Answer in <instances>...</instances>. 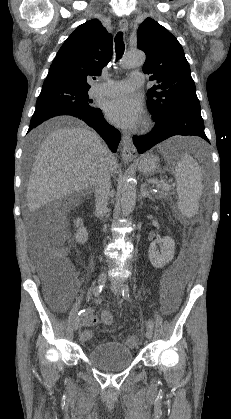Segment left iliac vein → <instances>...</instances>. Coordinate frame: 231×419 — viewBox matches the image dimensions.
Segmentation results:
<instances>
[{"label":"left iliac vein","mask_w":231,"mask_h":419,"mask_svg":"<svg viewBox=\"0 0 231 419\" xmlns=\"http://www.w3.org/2000/svg\"><path fill=\"white\" fill-rule=\"evenodd\" d=\"M123 289V284L120 279H116L112 281V290L115 294H119ZM145 336L148 340H150L153 336L152 329L147 328L145 332Z\"/></svg>","instance_id":"4c4485c4"}]
</instances>
